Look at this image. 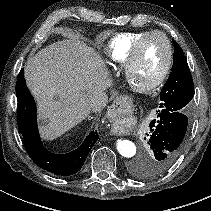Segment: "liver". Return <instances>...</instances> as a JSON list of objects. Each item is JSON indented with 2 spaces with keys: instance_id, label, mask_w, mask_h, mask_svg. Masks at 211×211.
Wrapping results in <instances>:
<instances>
[{
  "instance_id": "liver-1",
  "label": "liver",
  "mask_w": 211,
  "mask_h": 211,
  "mask_svg": "<svg viewBox=\"0 0 211 211\" xmlns=\"http://www.w3.org/2000/svg\"><path fill=\"white\" fill-rule=\"evenodd\" d=\"M25 78L38 103L45 140L75 127L91 110L100 112L111 86L101 58L80 40L57 41L40 50L28 60Z\"/></svg>"
}]
</instances>
